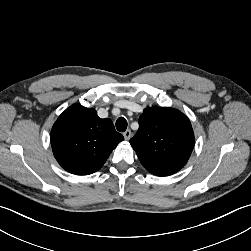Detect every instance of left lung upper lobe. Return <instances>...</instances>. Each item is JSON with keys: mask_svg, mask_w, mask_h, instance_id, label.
Wrapping results in <instances>:
<instances>
[{"mask_svg": "<svg viewBox=\"0 0 251 251\" xmlns=\"http://www.w3.org/2000/svg\"><path fill=\"white\" fill-rule=\"evenodd\" d=\"M138 122L139 129L130 144L150 173L168 176L184 167L194 148L187 116L172 108L149 107Z\"/></svg>", "mask_w": 251, "mask_h": 251, "instance_id": "5c2ea615", "label": "left lung upper lobe"}]
</instances>
